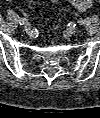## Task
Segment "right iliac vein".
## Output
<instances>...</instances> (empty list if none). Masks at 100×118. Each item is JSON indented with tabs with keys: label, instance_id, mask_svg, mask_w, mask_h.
<instances>
[{
	"label": "right iliac vein",
	"instance_id": "obj_1",
	"mask_svg": "<svg viewBox=\"0 0 100 118\" xmlns=\"http://www.w3.org/2000/svg\"><path fill=\"white\" fill-rule=\"evenodd\" d=\"M25 31H26V33H30L31 31H32V29H31V27L30 26H27L26 28H25Z\"/></svg>",
	"mask_w": 100,
	"mask_h": 118
}]
</instances>
